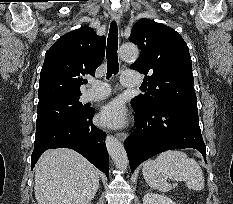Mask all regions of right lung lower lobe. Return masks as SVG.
I'll use <instances>...</instances> for the list:
<instances>
[{"label": "right lung lower lobe", "mask_w": 233, "mask_h": 204, "mask_svg": "<svg viewBox=\"0 0 233 204\" xmlns=\"http://www.w3.org/2000/svg\"><path fill=\"white\" fill-rule=\"evenodd\" d=\"M94 113L95 110L90 109L74 121L62 122L37 133L31 156V168H34L41 154L47 149L71 148L83 155L108 177L109 157L105 145L106 133L93 125Z\"/></svg>", "instance_id": "obj_1"}]
</instances>
